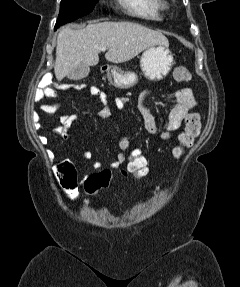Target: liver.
<instances>
[{"instance_id": "1", "label": "liver", "mask_w": 240, "mask_h": 287, "mask_svg": "<svg viewBox=\"0 0 240 287\" xmlns=\"http://www.w3.org/2000/svg\"><path fill=\"white\" fill-rule=\"evenodd\" d=\"M153 45L169 42L161 32L133 22L95 23L79 30L66 26L57 37L54 73L60 81L80 63L97 65L103 47L107 61L123 63Z\"/></svg>"}]
</instances>
